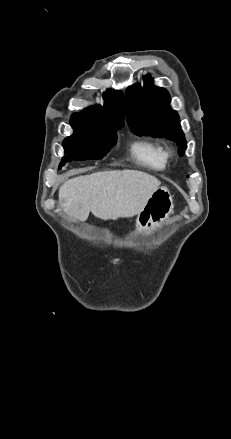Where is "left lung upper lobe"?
Segmentation results:
<instances>
[{
  "mask_svg": "<svg viewBox=\"0 0 231 439\" xmlns=\"http://www.w3.org/2000/svg\"><path fill=\"white\" fill-rule=\"evenodd\" d=\"M145 85L131 86L126 91V119L136 134L167 138L178 145L180 156L184 154L186 140L181 130L179 116L169 108L170 95L166 89L154 86L146 77Z\"/></svg>",
  "mask_w": 231,
  "mask_h": 439,
  "instance_id": "1",
  "label": "left lung upper lobe"
}]
</instances>
